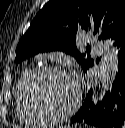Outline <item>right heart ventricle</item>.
<instances>
[{
    "instance_id": "obj_1",
    "label": "right heart ventricle",
    "mask_w": 125,
    "mask_h": 128,
    "mask_svg": "<svg viewBox=\"0 0 125 128\" xmlns=\"http://www.w3.org/2000/svg\"><path fill=\"white\" fill-rule=\"evenodd\" d=\"M33 69H26L20 76L16 85V115L20 121L29 125L42 124L45 121L38 118L30 108L26 94L25 86L28 78L33 73Z\"/></svg>"
}]
</instances>
